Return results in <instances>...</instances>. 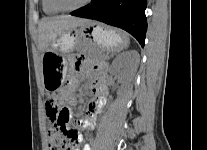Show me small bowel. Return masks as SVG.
I'll list each match as a JSON object with an SVG mask.
<instances>
[{"instance_id":"obj_1","label":"small bowel","mask_w":207,"mask_h":150,"mask_svg":"<svg viewBox=\"0 0 207 150\" xmlns=\"http://www.w3.org/2000/svg\"><path fill=\"white\" fill-rule=\"evenodd\" d=\"M90 67L92 72L96 75V79L92 83V89L95 93V98L90 102L88 109H87V115L84 118L79 119L78 125L81 128L84 129H93L97 116L103 109L105 103H106V96L108 94V89L104 82L102 81V75L104 72L103 65L97 63V62H91ZM77 79L75 77H70L69 79V86L71 89H74L77 87ZM62 100L68 102L70 105L75 104V98L71 94H64L61 97ZM69 110V109H68ZM70 113V111H69ZM80 141V135L77 134V143ZM86 145H82V150H91L92 146L89 145L90 141H85ZM78 150V149H76Z\"/></svg>"}]
</instances>
